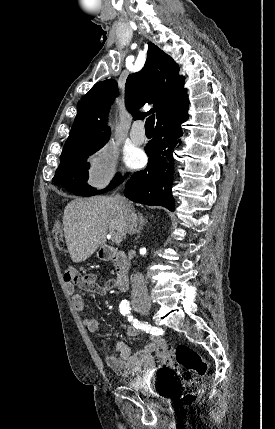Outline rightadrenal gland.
I'll return each instance as SVG.
<instances>
[{"label": "right adrenal gland", "instance_id": "right-adrenal-gland-1", "mask_svg": "<svg viewBox=\"0 0 275 429\" xmlns=\"http://www.w3.org/2000/svg\"><path fill=\"white\" fill-rule=\"evenodd\" d=\"M138 217H139V226L136 229V233L138 234V237L141 235L142 229L144 224L147 222V217H144L142 213L138 212Z\"/></svg>", "mask_w": 275, "mask_h": 429}]
</instances>
